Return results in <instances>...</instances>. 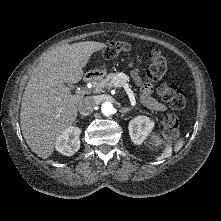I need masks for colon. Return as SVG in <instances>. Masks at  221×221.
Segmentation results:
<instances>
[{
    "label": "colon",
    "instance_id": "1",
    "mask_svg": "<svg viewBox=\"0 0 221 221\" xmlns=\"http://www.w3.org/2000/svg\"><path fill=\"white\" fill-rule=\"evenodd\" d=\"M132 50L130 43L125 41L110 42L103 50V57L107 60L116 58L121 53H128ZM150 65L145 75L149 81L158 82L167 70L166 58L159 50H152L149 54ZM158 94L174 110L185 107L186 99L184 92L175 85L165 82L156 87ZM163 133L167 138L175 139L179 135V121L175 114H166L162 119Z\"/></svg>",
    "mask_w": 221,
    "mask_h": 221
}]
</instances>
